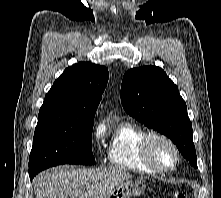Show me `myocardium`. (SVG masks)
<instances>
[{
  "label": "myocardium",
  "instance_id": "obj_1",
  "mask_svg": "<svg viewBox=\"0 0 221 198\" xmlns=\"http://www.w3.org/2000/svg\"><path fill=\"white\" fill-rule=\"evenodd\" d=\"M155 140H161L167 143L174 152L175 160L171 166L160 165L153 157L152 154V144ZM141 157L143 161L152 169L160 173L171 172L175 170L180 162V150L176 143L167 135L160 132L148 133L142 140L141 147Z\"/></svg>",
  "mask_w": 221,
  "mask_h": 198
}]
</instances>
